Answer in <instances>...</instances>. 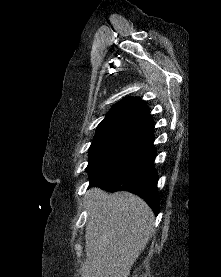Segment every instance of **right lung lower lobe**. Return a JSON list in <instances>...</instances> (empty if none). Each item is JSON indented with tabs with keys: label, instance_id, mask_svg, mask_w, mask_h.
<instances>
[{
	"label": "right lung lower lobe",
	"instance_id": "98d812e1",
	"mask_svg": "<svg viewBox=\"0 0 221 277\" xmlns=\"http://www.w3.org/2000/svg\"><path fill=\"white\" fill-rule=\"evenodd\" d=\"M147 135L144 141L115 170L105 176L90 180L91 186H99L107 191L125 190L143 198L157 215L159 197L157 195V174L154 168L153 119L148 114L142 121Z\"/></svg>",
	"mask_w": 221,
	"mask_h": 277
}]
</instances>
